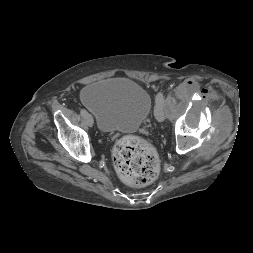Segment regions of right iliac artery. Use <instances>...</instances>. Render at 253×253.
I'll return each mask as SVG.
<instances>
[{"label":"right iliac artery","instance_id":"82829eb1","mask_svg":"<svg viewBox=\"0 0 253 253\" xmlns=\"http://www.w3.org/2000/svg\"><path fill=\"white\" fill-rule=\"evenodd\" d=\"M80 114L84 117L87 114V111L85 109H81Z\"/></svg>","mask_w":253,"mask_h":253}]
</instances>
